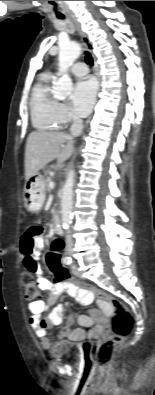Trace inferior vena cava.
I'll return each instance as SVG.
<instances>
[{
	"instance_id": "inferior-vena-cava-1",
	"label": "inferior vena cava",
	"mask_w": 155,
	"mask_h": 395,
	"mask_svg": "<svg viewBox=\"0 0 155 395\" xmlns=\"http://www.w3.org/2000/svg\"><path fill=\"white\" fill-rule=\"evenodd\" d=\"M72 121L73 122H72V125L70 127L71 136L72 137L79 136L81 134V132H82V129H83V120L79 116L74 115L73 118H72ZM66 247H67V251L69 253H71L72 252V247H73V241H72V237L70 235V232H67V235H66Z\"/></svg>"
}]
</instances>
